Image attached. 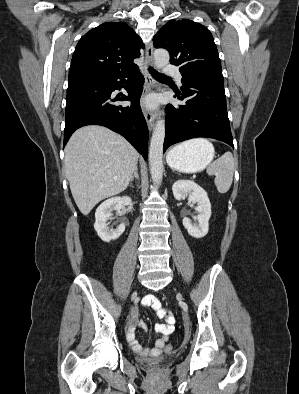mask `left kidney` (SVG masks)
Masks as SVG:
<instances>
[{"label": "left kidney", "instance_id": "left-kidney-1", "mask_svg": "<svg viewBox=\"0 0 299 394\" xmlns=\"http://www.w3.org/2000/svg\"><path fill=\"white\" fill-rule=\"evenodd\" d=\"M172 191L176 200H182L189 195L188 200L197 204L198 223L192 224L189 218H183V226L188 234L197 239L207 235L211 216V203L206 191L195 182L189 180L176 181L172 186Z\"/></svg>", "mask_w": 299, "mask_h": 394}]
</instances>
